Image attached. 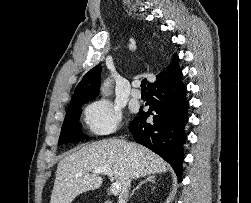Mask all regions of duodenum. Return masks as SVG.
Wrapping results in <instances>:
<instances>
[{"label": "duodenum", "mask_w": 251, "mask_h": 203, "mask_svg": "<svg viewBox=\"0 0 251 203\" xmlns=\"http://www.w3.org/2000/svg\"><path fill=\"white\" fill-rule=\"evenodd\" d=\"M103 203H113L111 200H104Z\"/></svg>", "instance_id": "410a0bca"}]
</instances>
